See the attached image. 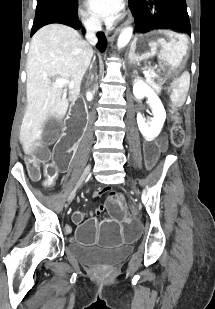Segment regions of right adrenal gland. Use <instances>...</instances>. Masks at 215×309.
Wrapping results in <instances>:
<instances>
[{
  "label": "right adrenal gland",
  "instance_id": "2a0ac1e0",
  "mask_svg": "<svg viewBox=\"0 0 215 309\" xmlns=\"http://www.w3.org/2000/svg\"><path fill=\"white\" fill-rule=\"evenodd\" d=\"M95 58H96V56H94L93 62H94ZM93 62H92V64H93ZM92 64H90V70H91V68H92Z\"/></svg>",
  "mask_w": 215,
  "mask_h": 309
}]
</instances>
